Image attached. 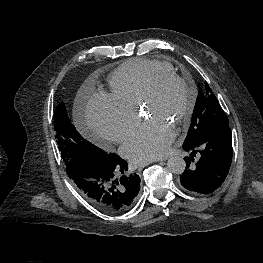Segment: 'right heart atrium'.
<instances>
[{"label": "right heart atrium", "instance_id": "1", "mask_svg": "<svg viewBox=\"0 0 263 263\" xmlns=\"http://www.w3.org/2000/svg\"><path fill=\"white\" fill-rule=\"evenodd\" d=\"M84 120L100 145L121 142L138 121V114L111 94L101 92L87 102Z\"/></svg>", "mask_w": 263, "mask_h": 263}]
</instances>
